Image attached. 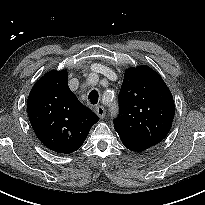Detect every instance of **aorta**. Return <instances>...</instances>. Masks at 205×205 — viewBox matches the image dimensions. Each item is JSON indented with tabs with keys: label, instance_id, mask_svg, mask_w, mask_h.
<instances>
[{
	"label": "aorta",
	"instance_id": "762f6f07",
	"mask_svg": "<svg viewBox=\"0 0 205 205\" xmlns=\"http://www.w3.org/2000/svg\"><path fill=\"white\" fill-rule=\"evenodd\" d=\"M110 113H111V115L116 113V104H113V105L110 107Z\"/></svg>",
	"mask_w": 205,
	"mask_h": 205
}]
</instances>
